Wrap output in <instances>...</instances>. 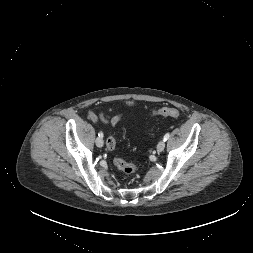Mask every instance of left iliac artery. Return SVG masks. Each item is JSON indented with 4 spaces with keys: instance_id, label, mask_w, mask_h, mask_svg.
Instances as JSON below:
<instances>
[{
    "instance_id": "44dca946",
    "label": "left iliac artery",
    "mask_w": 253,
    "mask_h": 253,
    "mask_svg": "<svg viewBox=\"0 0 253 253\" xmlns=\"http://www.w3.org/2000/svg\"><path fill=\"white\" fill-rule=\"evenodd\" d=\"M168 138H169V133L165 134V136L163 137V140L166 141L168 140Z\"/></svg>"
}]
</instances>
